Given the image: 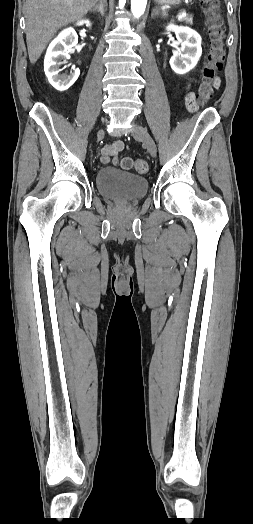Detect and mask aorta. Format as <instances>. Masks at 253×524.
Listing matches in <instances>:
<instances>
[{
	"label": "aorta",
	"instance_id": "obj_1",
	"mask_svg": "<svg viewBox=\"0 0 253 524\" xmlns=\"http://www.w3.org/2000/svg\"><path fill=\"white\" fill-rule=\"evenodd\" d=\"M147 5V0H131V11L132 14L139 18L144 14Z\"/></svg>",
	"mask_w": 253,
	"mask_h": 524
}]
</instances>
